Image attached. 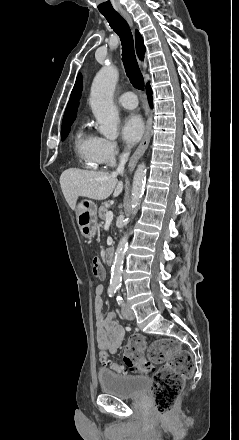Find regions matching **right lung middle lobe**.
I'll use <instances>...</instances> for the list:
<instances>
[{"instance_id":"obj_1","label":"right lung middle lobe","mask_w":239,"mask_h":440,"mask_svg":"<svg viewBox=\"0 0 239 440\" xmlns=\"http://www.w3.org/2000/svg\"><path fill=\"white\" fill-rule=\"evenodd\" d=\"M72 123H69V124L61 127V137H62V140H64L67 137V135H68V133L70 131V126H71Z\"/></svg>"}]
</instances>
